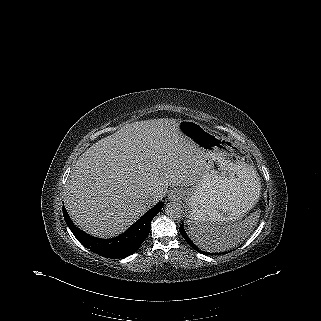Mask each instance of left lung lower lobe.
Returning a JSON list of instances; mask_svg holds the SVG:
<instances>
[{
	"label": "left lung lower lobe",
	"mask_w": 321,
	"mask_h": 321,
	"mask_svg": "<svg viewBox=\"0 0 321 321\" xmlns=\"http://www.w3.org/2000/svg\"><path fill=\"white\" fill-rule=\"evenodd\" d=\"M179 231H180V233L182 234V236L184 237V239L188 242V244H189L192 248H194L196 251H198V252H200V253H202V254H207V255H217V254H218V253H207V252L201 251V250L189 239V237L187 236V234H186V232H185V230H184V228H183V224L180 226Z\"/></svg>",
	"instance_id": "0a47b994"
}]
</instances>
